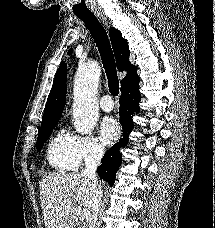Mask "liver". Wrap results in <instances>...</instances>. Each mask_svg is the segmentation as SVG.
Returning a JSON list of instances; mask_svg holds the SVG:
<instances>
[{"label": "liver", "mask_w": 215, "mask_h": 228, "mask_svg": "<svg viewBox=\"0 0 215 228\" xmlns=\"http://www.w3.org/2000/svg\"><path fill=\"white\" fill-rule=\"evenodd\" d=\"M40 202L46 228H75L76 202L92 216L90 180L80 174H49L40 182ZM72 200L71 206L67 202Z\"/></svg>", "instance_id": "obj_1"}]
</instances>
